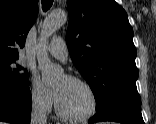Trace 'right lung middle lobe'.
Listing matches in <instances>:
<instances>
[{
    "label": "right lung middle lobe",
    "mask_w": 156,
    "mask_h": 124,
    "mask_svg": "<svg viewBox=\"0 0 156 124\" xmlns=\"http://www.w3.org/2000/svg\"><path fill=\"white\" fill-rule=\"evenodd\" d=\"M14 62L12 60L0 61V83L13 87H27L28 73L19 65L14 67L12 65Z\"/></svg>",
    "instance_id": "obj_1"
}]
</instances>
